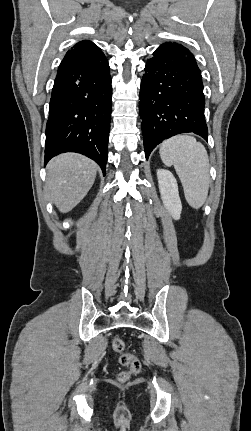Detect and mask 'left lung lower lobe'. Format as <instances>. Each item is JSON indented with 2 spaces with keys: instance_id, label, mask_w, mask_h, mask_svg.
<instances>
[{
  "instance_id": "left-lung-lower-lobe-1",
  "label": "left lung lower lobe",
  "mask_w": 251,
  "mask_h": 431,
  "mask_svg": "<svg viewBox=\"0 0 251 431\" xmlns=\"http://www.w3.org/2000/svg\"><path fill=\"white\" fill-rule=\"evenodd\" d=\"M200 69L181 44L160 45L147 61L141 81L139 110L145 156L164 139L194 132L208 140Z\"/></svg>"
}]
</instances>
